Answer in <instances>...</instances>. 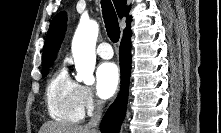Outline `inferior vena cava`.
I'll list each match as a JSON object with an SVG mask.
<instances>
[{
  "label": "inferior vena cava",
  "instance_id": "inferior-vena-cava-1",
  "mask_svg": "<svg viewBox=\"0 0 221 133\" xmlns=\"http://www.w3.org/2000/svg\"><path fill=\"white\" fill-rule=\"evenodd\" d=\"M102 103H103V101H101V100H97L96 101V112H95V115H93L91 117L90 121L86 125V127L91 129L92 133H98V130L96 129V127L98 126L99 121L101 119Z\"/></svg>",
  "mask_w": 221,
  "mask_h": 133
}]
</instances>
